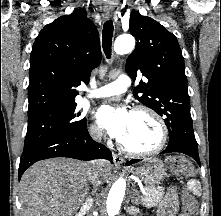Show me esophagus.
Returning a JSON list of instances; mask_svg holds the SVG:
<instances>
[{
	"label": "esophagus",
	"instance_id": "1",
	"mask_svg": "<svg viewBox=\"0 0 221 216\" xmlns=\"http://www.w3.org/2000/svg\"><path fill=\"white\" fill-rule=\"evenodd\" d=\"M113 11L110 9L104 10V17L108 20L112 17ZM113 162L116 166H122L124 163L123 157L120 155L113 153Z\"/></svg>",
	"mask_w": 221,
	"mask_h": 216
}]
</instances>
